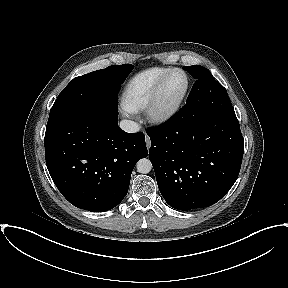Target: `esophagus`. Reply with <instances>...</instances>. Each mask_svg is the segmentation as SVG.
I'll return each mask as SVG.
<instances>
[{
  "mask_svg": "<svg viewBox=\"0 0 288 288\" xmlns=\"http://www.w3.org/2000/svg\"><path fill=\"white\" fill-rule=\"evenodd\" d=\"M146 145H147V148H148V149H149L150 146H151V140H150V138H149L148 135H146Z\"/></svg>",
  "mask_w": 288,
  "mask_h": 288,
  "instance_id": "34e87169",
  "label": "esophagus"
}]
</instances>
